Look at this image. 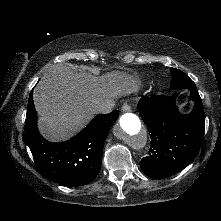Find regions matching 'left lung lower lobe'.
<instances>
[{"instance_id": "0a47b994", "label": "left lung lower lobe", "mask_w": 221, "mask_h": 221, "mask_svg": "<svg viewBox=\"0 0 221 221\" xmlns=\"http://www.w3.org/2000/svg\"><path fill=\"white\" fill-rule=\"evenodd\" d=\"M193 110L186 115L179 113L171 96H143L137 109L148 127L151 137L149 156L141 160L142 171L152 178L173 175L188 166L201 147L205 112L195 85L188 88Z\"/></svg>"}]
</instances>
